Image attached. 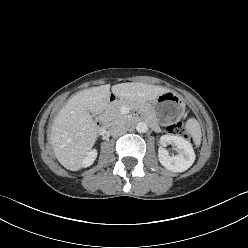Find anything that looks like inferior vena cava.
<instances>
[{
    "label": "inferior vena cava",
    "instance_id": "1",
    "mask_svg": "<svg viewBox=\"0 0 248 248\" xmlns=\"http://www.w3.org/2000/svg\"><path fill=\"white\" fill-rule=\"evenodd\" d=\"M109 130L111 135L116 137L126 133V127L119 122H114Z\"/></svg>",
    "mask_w": 248,
    "mask_h": 248
}]
</instances>
